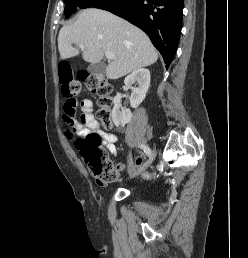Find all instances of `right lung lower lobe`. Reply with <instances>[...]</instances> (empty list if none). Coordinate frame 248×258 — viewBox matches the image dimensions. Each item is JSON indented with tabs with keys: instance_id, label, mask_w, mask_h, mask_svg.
<instances>
[{
	"instance_id": "1",
	"label": "right lung lower lobe",
	"mask_w": 248,
	"mask_h": 258,
	"mask_svg": "<svg viewBox=\"0 0 248 258\" xmlns=\"http://www.w3.org/2000/svg\"><path fill=\"white\" fill-rule=\"evenodd\" d=\"M94 8L107 10L142 29L169 67L180 38L183 0H107Z\"/></svg>"
}]
</instances>
